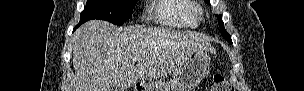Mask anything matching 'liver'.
Here are the masks:
<instances>
[{"label": "liver", "mask_w": 304, "mask_h": 91, "mask_svg": "<svg viewBox=\"0 0 304 91\" xmlns=\"http://www.w3.org/2000/svg\"><path fill=\"white\" fill-rule=\"evenodd\" d=\"M75 76L70 91H126L138 80L165 77L193 52L215 49L195 32L166 28L119 27L101 20L73 35ZM140 60L135 62L134 57Z\"/></svg>", "instance_id": "liver-1"}]
</instances>
